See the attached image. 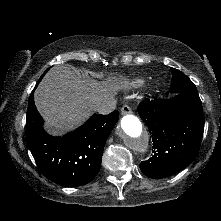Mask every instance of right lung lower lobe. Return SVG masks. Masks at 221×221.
Segmentation results:
<instances>
[{
  "label": "right lung lower lobe",
  "instance_id": "98d812e1",
  "mask_svg": "<svg viewBox=\"0 0 221 221\" xmlns=\"http://www.w3.org/2000/svg\"><path fill=\"white\" fill-rule=\"evenodd\" d=\"M34 90L29 97L26 137L35 161L50 180L60 185L76 187L91 182L99 173L104 145L119 112L94 114L75 131L52 137L43 129V119L34 103Z\"/></svg>",
  "mask_w": 221,
  "mask_h": 221
}]
</instances>
